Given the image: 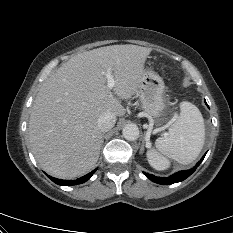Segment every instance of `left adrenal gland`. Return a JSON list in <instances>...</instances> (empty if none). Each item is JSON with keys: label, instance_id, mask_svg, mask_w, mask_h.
Masks as SVG:
<instances>
[{"label": "left adrenal gland", "instance_id": "1", "mask_svg": "<svg viewBox=\"0 0 233 233\" xmlns=\"http://www.w3.org/2000/svg\"><path fill=\"white\" fill-rule=\"evenodd\" d=\"M144 151V145H142L140 152L142 153Z\"/></svg>", "mask_w": 233, "mask_h": 233}]
</instances>
